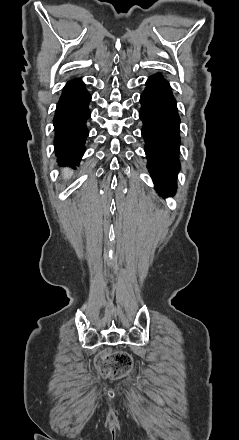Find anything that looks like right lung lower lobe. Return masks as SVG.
<instances>
[{"instance_id": "98d812e1", "label": "right lung lower lobe", "mask_w": 239, "mask_h": 440, "mask_svg": "<svg viewBox=\"0 0 239 440\" xmlns=\"http://www.w3.org/2000/svg\"><path fill=\"white\" fill-rule=\"evenodd\" d=\"M90 100L80 79L70 80L63 88L53 119L55 154L60 164L75 167L83 156L89 134L86 121L90 118Z\"/></svg>"}]
</instances>
